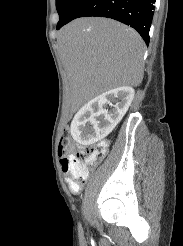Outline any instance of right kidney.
<instances>
[{
  "instance_id": "1",
  "label": "right kidney",
  "mask_w": 183,
  "mask_h": 246,
  "mask_svg": "<svg viewBox=\"0 0 183 246\" xmlns=\"http://www.w3.org/2000/svg\"><path fill=\"white\" fill-rule=\"evenodd\" d=\"M134 93L132 87L122 86L88 102L71 123L73 139L79 144L91 145L108 136L126 114ZM107 105L112 107L110 111L106 109Z\"/></svg>"
}]
</instances>
